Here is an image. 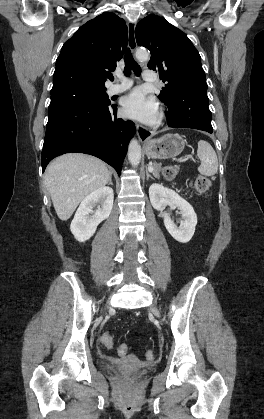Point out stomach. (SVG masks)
<instances>
[{"mask_svg":"<svg viewBox=\"0 0 264 419\" xmlns=\"http://www.w3.org/2000/svg\"><path fill=\"white\" fill-rule=\"evenodd\" d=\"M185 143L186 140L179 134H166L161 138L148 140L145 144V152L148 158H173L183 151Z\"/></svg>","mask_w":264,"mask_h":419,"instance_id":"0dacf381","label":"stomach"}]
</instances>
